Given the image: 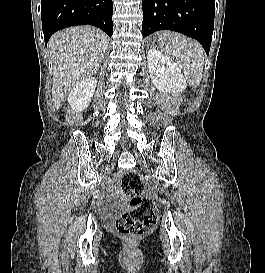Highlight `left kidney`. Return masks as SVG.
<instances>
[{
  "instance_id": "5707ae66",
  "label": "left kidney",
  "mask_w": 265,
  "mask_h": 273,
  "mask_svg": "<svg viewBox=\"0 0 265 273\" xmlns=\"http://www.w3.org/2000/svg\"><path fill=\"white\" fill-rule=\"evenodd\" d=\"M147 63L151 80L160 92L176 94L186 89V79L170 57L153 48L148 51Z\"/></svg>"
}]
</instances>
